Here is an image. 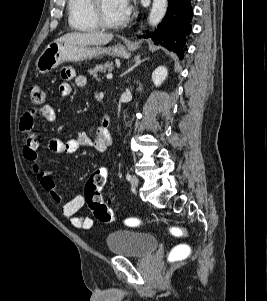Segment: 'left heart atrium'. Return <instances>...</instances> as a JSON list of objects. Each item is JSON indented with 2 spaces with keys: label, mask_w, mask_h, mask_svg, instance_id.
<instances>
[{
  "label": "left heart atrium",
  "mask_w": 267,
  "mask_h": 301,
  "mask_svg": "<svg viewBox=\"0 0 267 301\" xmlns=\"http://www.w3.org/2000/svg\"><path fill=\"white\" fill-rule=\"evenodd\" d=\"M120 2V6L122 11L128 15L130 12V0H118Z\"/></svg>",
  "instance_id": "39dd6f15"
}]
</instances>
